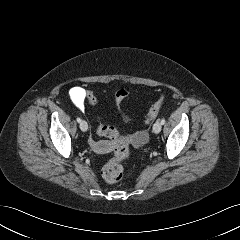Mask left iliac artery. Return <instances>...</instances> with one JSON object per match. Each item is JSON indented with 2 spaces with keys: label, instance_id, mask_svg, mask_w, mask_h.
<instances>
[{
  "label": "left iliac artery",
  "instance_id": "obj_1",
  "mask_svg": "<svg viewBox=\"0 0 240 240\" xmlns=\"http://www.w3.org/2000/svg\"><path fill=\"white\" fill-rule=\"evenodd\" d=\"M161 124L162 125L165 124V119L164 118L161 120Z\"/></svg>",
  "mask_w": 240,
  "mask_h": 240
}]
</instances>
